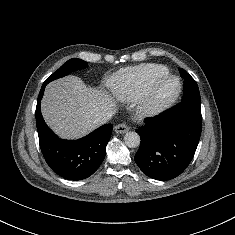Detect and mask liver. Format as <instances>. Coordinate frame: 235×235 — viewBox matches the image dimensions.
Listing matches in <instances>:
<instances>
[{
    "label": "liver",
    "instance_id": "6515ba94",
    "mask_svg": "<svg viewBox=\"0 0 235 235\" xmlns=\"http://www.w3.org/2000/svg\"><path fill=\"white\" fill-rule=\"evenodd\" d=\"M113 96L103 90L87 87L76 76L49 83L41 101L47 125L63 139H77L98 126L96 119L104 111H116Z\"/></svg>",
    "mask_w": 235,
    "mask_h": 235
}]
</instances>
